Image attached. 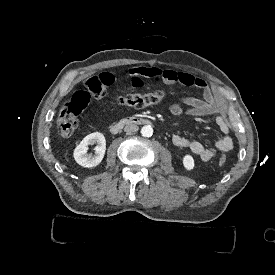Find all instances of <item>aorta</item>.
<instances>
[{
  "instance_id": "762f6f07",
  "label": "aorta",
  "mask_w": 275,
  "mask_h": 275,
  "mask_svg": "<svg viewBox=\"0 0 275 275\" xmlns=\"http://www.w3.org/2000/svg\"><path fill=\"white\" fill-rule=\"evenodd\" d=\"M152 134H153V129L150 125H146L141 128V135L143 137H151Z\"/></svg>"
}]
</instances>
